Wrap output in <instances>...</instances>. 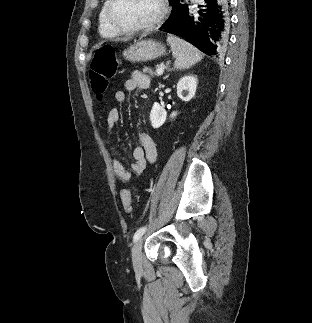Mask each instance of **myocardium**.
Wrapping results in <instances>:
<instances>
[{
	"instance_id": "1",
	"label": "myocardium",
	"mask_w": 312,
	"mask_h": 323,
	"mask_svg": "<svg viewBox=\"0 0 312 323\" xmlns=\"http://www.w3.org/2000/svg\"><path fill=\"white\" fill-rule=\"evenodd\" d=\"M108 6L104 12L107 21L111 23V31H148L152 25H161L168 19V1L155 0L159 4L156 8L155 18L149 20H120L117 18L116 11L119 6L118 0H106Z\"/></svg>"
}]
</instances>
